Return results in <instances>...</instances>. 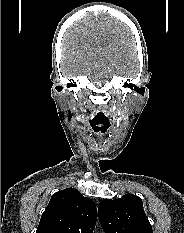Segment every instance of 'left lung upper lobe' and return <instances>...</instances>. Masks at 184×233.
I'll use <instances>...</instances> for the list:
<instances>
[{
  "label": "left lung upper lobe",
  "instance_id": "1",
  "mask_svg": "<svg viewBox=\"0 0 184 233\" xmlns=\"http://www.w3.org/2000/svg\"><path fill=\"white\" fill-rule=\"evenodd\" d=\"M98 215L105 233H153L142 199L133 194L115 200L103 199Z\"/></svg>",
  "mask_w": 184,
  "mask_h": 233
}]
</instances>
